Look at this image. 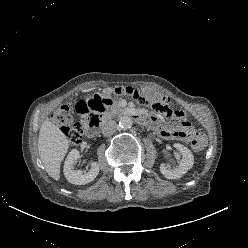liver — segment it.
<instances>
[{"mask_svg": "<svg viewBox=\"0 0 248 248\" xmlns=\"http://www.w3.org/2000/svg\"><path fill=\"white\" fill-rule=\"evenodd\" d=\"M69 148V140L58 126L46 119L38 138V152L43 166L50 177L60 179V166Z\"/></svg>", "mask_w": 248, "mask_h": 248, "instance_id": "1", "label": "liver"}]
</instances>
